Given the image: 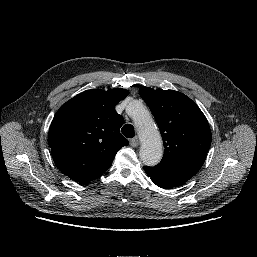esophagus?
<instances>
[{"label": "esophagus", "instance_id": "esophagus-1", "mask_svg": "<svg viewBox=\"0 0 257 257\" xmlns=\"http://www.w3.org/2000/svg\"><path fill=\"white\" fill-rule=\"evenodd\" d=\"M138 144H139V141H138V138H137V137H134V138H132V139L130 140V145H131L132 147H137Z\"/></svg>", "mask_w": 257, "mask_h": 257}]
</instances>
